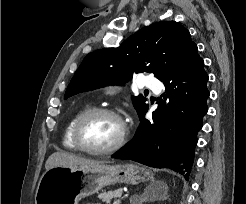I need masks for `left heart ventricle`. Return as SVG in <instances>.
<instances>
[{"label": "left heart ventricle", "instance_id": "left-heart-ventricle-1", "mask_svg": "<svg viewBox=\"0 0 246 204\" xmlns=\"http://www.w3.org/2000/svg\"><path fill=\"white\" fill-rule=\"evenodd\" d=\"M120 131V124L115 118L108 115H96L83 125L81 141L89 148H105L118 139Z\"/></svg>", "mask_w": 246, "mask_h": 204}]
</instances>
